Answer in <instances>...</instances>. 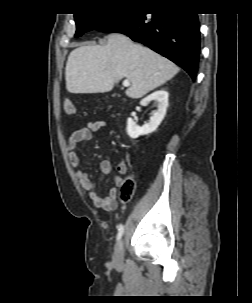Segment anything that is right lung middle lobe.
I'll return each mask as SVG.
<instances>
[{
  "label": "right lung middle lobe",
  "mask_w": 252,
  "mask_h": 303,
  "mask_svg": "<svg viewBox=\"0 0 252 303\" xmlns=\"http://www.w3.org/2000/svg\"><path fill=\"white\" fill-rule=\"evenodd\" d=\"M127 14L126 12L114 13H93V14H75L77 31L75 36L79 37L83 33L91 30H99L109 25L113 21Z\"/></svg>",
  "instance_id": "obj_1"
}]
</instances>
